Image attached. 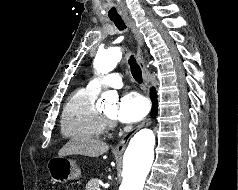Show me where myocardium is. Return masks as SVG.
Masks as SVG:
<instances>
[{
	"label": "myocardium",
	"mask_w": 238,
	"mask_h": 190,
	"mask_svg": "<svg viewBox=\"0 0 238 190\" xmlns=\"http://www.w3.org/2000/svg\"><path fill=\"white\" fill-rule=\"evenodd\" d=\"M100 118L106 128H113L116 126L115 118L109 117L103 112H100Z\"/></svg>",
	"instance_id": "1"
}]
</instances>
